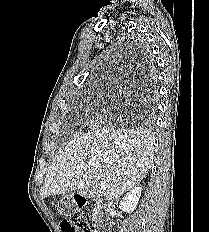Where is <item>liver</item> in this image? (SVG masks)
Masks as SVG:
<instances>
[{
    "label": "liver",
    "mask_w": 209,
    "mask_h": 232,
    "mask_svg": "<svg viewBox=\"0 0 209 232\" xmlns=\"http://www.w3.org/2000/svg\"><path fill=\"white\" fill-rule=\"evenodd\" d=\"M153 157V139L143 129L106 127L82 135L48 168L41 198L66 192L85 198H117L148 174Z\"/></svg>",
    "instance_id": "1"
}]
</instances>
